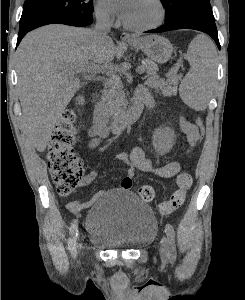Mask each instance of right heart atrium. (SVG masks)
<instances>
[{
	"label": "right heart atrium",
	"instance_id": "d8ad5b80",
	"mask_svg": "<svg viewBox=\"0 0 245 300\" xmlns=\"http://www.w3.org/2000/svg\"><path fill=\"white\" fill-rule=\"evenodd\" d=\"M108 0H97L95 3V13L97 18L105 23L113 20V10L107 3Z\"/></svg>",
	"mask_w": 245,
	"mask_h": 300
}]
</instances>
